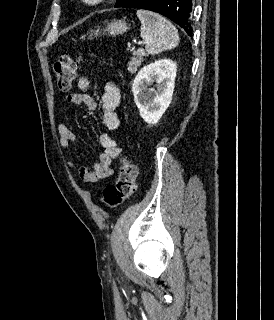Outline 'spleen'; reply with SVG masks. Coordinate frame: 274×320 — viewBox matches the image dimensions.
Listing matches in <instances>:
<instances>
[{
    "instance_id": "1",
    "label": "spleen",
    "mask_w": 274,
    "mask_h": 320,
    "mask_svg": "<svg viewBox=\"0 0 274 320\" xmlns=\"http://www.w3.org/2000/svg\"><path fill=\"white\" fill-rule=\"evenodd\" d=\"M141 26V38L146 46L147 54H160L164 50H172L179 44V34L175 26L159 14L148 10H137Z\"/></svg>"
}]
</instances>
